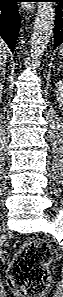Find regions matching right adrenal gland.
I'll return each mask as SVG.
<instances>
[{
  "mask_svg": "<svg viewBox=\"0 0 63 297\" xmlns=\"http://www.w3.org/2000/svg\"><path fill=\"white\" fill-rule=\"evenodd\" d=\"M6 71H5V64L0 66V76L5 77Z\"/></svg>",
  "mask_w": 63,
  "mask_h": 297,
  "instance_id": "obj_1",
  "label": "right adrenal gland"
}]
</instances>
